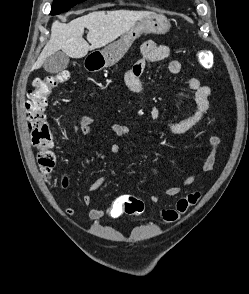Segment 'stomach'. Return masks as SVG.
<instances>
[{
  "label": "stomach",
  "mask_w": 249,
  "mask_h": 294,
  "mask_svg": "<svg viewBox=\"0 0 249 294\" xmlns=\"http://www.w3.org/2000/svg\"><path fill=\"white\" fill-rule=\"evenodd\" d=\"M170 28V22L161 14L151 13L139 20L120 40L94 54L99 58L100 69L115 65L129 50L133 42L143 33L164 34Z\"/></svg>",
  "instance_id": "stomach-1"
}]
</instances>
